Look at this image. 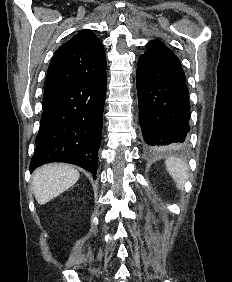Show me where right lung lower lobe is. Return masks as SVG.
<instances>
[{
    "instance_id": "98d812e1",
    "label": "right lung lower lobe",
    "mask_w": 232,
    "mask_h": 282,
    "mask_svg": "<svg viewBox=\"0 0 232 282\" xmlns=\"http://www.w3.org/2000/svg\"><path fill=\"white\" fill-rule=\"evenodd\" d=\"M107 73L81 81L43 108L30 171L50 162L78 165L96 179Z\"/></svg>"
}]
</instances>
